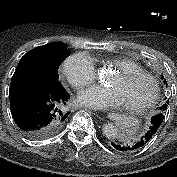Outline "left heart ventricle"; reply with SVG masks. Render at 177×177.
Wrapping results in <instances>:
<instances>
[{"label": "left heart ventricle", "mask_w": 177, "mask_h": 177, "mask_svg": "<svg viewBox=\"0 0 177 177\" xmlns=\"http://www.w3.org/2000/svg\"><path fill=\"white\" fill-rule=\"evenodd\" d=\"M109 86L119 93L123 105L137 104L145 100L151 93L152 85L146 79H122L116 75L109 82Z\"/></svg>", "instance_id": "left-heart-ventricle-1"}]
</instances>
